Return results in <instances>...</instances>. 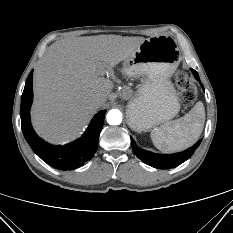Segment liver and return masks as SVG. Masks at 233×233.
<instances>
[{
	"instance_id": "1",
	"label": "liver",
	"mask_w": 233,
	"mask_h": 233,
	"mask_svg": "<svg viewBox=\"0 0 233 233\" xmlns=\"http://www.w3.org/2000/svg\"><path fill=\"white\" fill-rule=\"evenodd\" d=\"M144 40L111 34L62 39L50 45L34 70L31 119L35 131L51 143L78 137L112 93L113 83L105 73H112Z\"/></svg>"
}]
</instances>
